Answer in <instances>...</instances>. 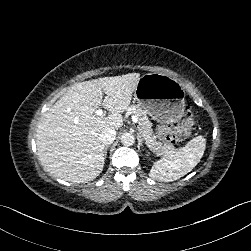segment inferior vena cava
I'll return each mask as SVG.
<instances>
[{
    "label": "inferior vena cava",
    "instance_id": "obj_1",
    "mask_svg": "<svg viewBox=\"0 0 251 251\" xmlns=\"http://www.w3.org/2000/svg\"><path fill=\"white\" fill-rule=\"evenodd\" d=\"M116 137V131L113 128H109V129H104L100 135H99V140L101 142V144L104 145H110Z\"/></svg>",
    "mask_w": 251,
    "mask_h": 251
}]
</instances>
